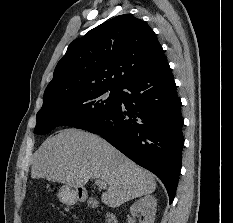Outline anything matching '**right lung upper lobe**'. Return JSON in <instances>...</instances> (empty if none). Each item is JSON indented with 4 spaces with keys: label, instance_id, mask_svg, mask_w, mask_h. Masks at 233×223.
<instances>
[{
    "label": "right lung upper lobe",
    "instance_id": "1",
    "mask_svg": "<svg viewBox=\"0 0 233 223\" xmlns=\"http://www.w3.org/2000/svg\"><path fill=\"white\" fill-rule=\"evenodd\" d=\"M166 63L152 29L132 15H120L71 42L44 92L43 104L93 88H121Z\"/></svg>",
    "mask_w": 233,
    "mask_h": 223
}]
</instances>
